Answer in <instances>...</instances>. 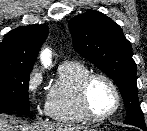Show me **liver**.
<instances>
[{
  "instance_id": "liver-1",
  "label": "liver",
  "mask_w": 147,
  "mask_h": 131,
  "mask_svg": "<svg viewBox=\"0 0 147 131\" xmlns=\"http://www.w3.org/2000/svg\"><path fill=\"white\" fill-rule=\"evenodd\" d=\"M8 116L0 114V131H86L83 126H75L71 124H26L20 126H11L8 124Z\"/></svg>"
}]
</instances>
